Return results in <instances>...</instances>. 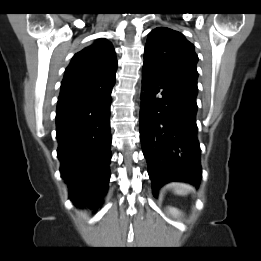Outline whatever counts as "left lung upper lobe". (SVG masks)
Instances as JSON below:
<instances>
[{"label":"left lung upper lobe","instance_id":"5c2ea615","mask_svg":"<svg viewBox=\"0 0 261 261\" xmlns=\"http://www.w3.org/2000/svg\"><path fill=\"white\" fill-rule=\"evenodd\" d=\"M197 62L193 44L180 32L158 27L149 33L143 67L198 90Z\"/></svg>","mask_w":261,"mask_h":261}]
</instances>
